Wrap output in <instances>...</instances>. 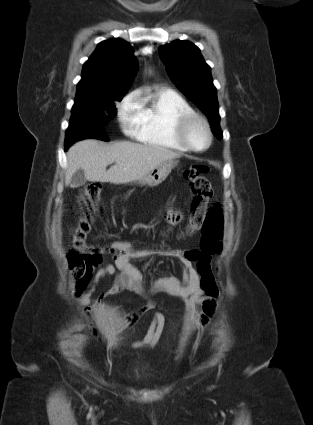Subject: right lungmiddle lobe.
Wrapping results in <instances>:
<instances>
[{"label": "right lung middle lobe", "mask_w": 313, "mask_h": 425, "mask_svg": "<svg viewBox=\"0 0 313 425\" xmlns=\"http://www.w3.org/2000/svg\"><path fill=\"white\" fill-rule=\"evenodd\" d=\"M125 93H113L102 97H90L75 100L72 108L70 126L76 124L78 119H92L100 124L107 123L116 116L115 102H120Z\"/></svg>", "instance_id": "1"}]
</instances>
